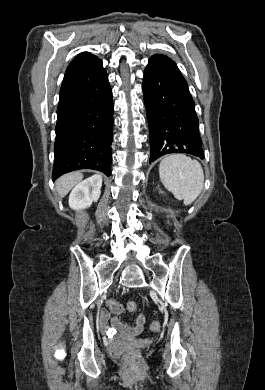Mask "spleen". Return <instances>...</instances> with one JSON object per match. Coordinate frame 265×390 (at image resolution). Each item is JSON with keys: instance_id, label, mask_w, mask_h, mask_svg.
<instances>
[{"instance_id": "spleen-1", "label": "spleen", "mask_w": 265, "mask_h": 390, "mask_svg": "<svg viewBox=\"0 0 265 390\" xmlns=\"http://www.w3.org/2000/svg\"><path fill=\"white\" fill-rule=\"evenodd\" d=\"M159 175L167 190L185 205H190L204 186L201 164L182 154L165 157L160 163Z\"/></svg>"}]
</instances>
